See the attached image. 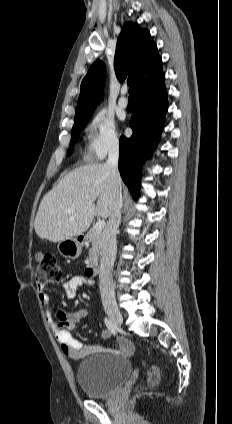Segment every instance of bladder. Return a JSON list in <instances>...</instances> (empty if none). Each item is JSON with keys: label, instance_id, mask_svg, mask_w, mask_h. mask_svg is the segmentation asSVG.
<instances>
[{"label": "bladder", "instance_id": "bladder-1", "mask_svg": "<svg viewBox=\"0 0 232 424\" xmlns=\"http://www.w3.org/2000/svg\"><path fill=\"white\" fill-rule=\"evenodd\" d=\"M131 373L132 367L126 358L95 354L78 365L76 380L88 397L101 399L113 395Z\"/></svg>", "mask_w": 232, "mask_h": 424}]
</instances>
